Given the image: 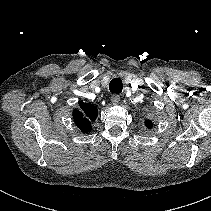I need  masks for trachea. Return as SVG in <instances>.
<instances>
[{
	"label": "trachea",
	"instance_id": "trachea-1",
	"mask_svg": "<svg viewBox=\"0 0 211 211\" xmlns=\"http://www.w3.org/2000/svg\"><path fill=\"white\" fill-rule=\"evenodd\" d=\"M122 88H123V83L120 78H113L110 81L109 89L111 93L119 94L122 92Z\"/></svg>",
	"mask_w": 211,
	"mask_h": 211
}]
</instances>
